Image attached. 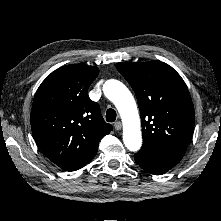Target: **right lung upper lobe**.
Segmentation results:
<instances>
[{
    "label": "right lung upper lobe",
    "instance_id": "right-lung-upper-lobe-1",
    "mask_svg": "<svg viewBox=\"0 0 221 221\" xmlns=\"http://www.w3.org/2000/svg\"><path fill=\"white\" fill-rule=\"evenodd\" d=\"M98 74L93 66H63L42 82L34 97L33 137L46 156L64 170L74 171L88 163L99 141L113 129L87 94Z\"/></svg>",
    "mask_w": 221,
    "mask_h": 221
}]
</instances>
